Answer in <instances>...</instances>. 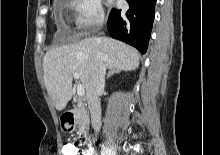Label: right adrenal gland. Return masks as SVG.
<instances>
[{
  "label": "right adrenal gland",
  "instance_id": "obj_1",
  "mask_svg": "<svg viewBox=\"0 0 220 155\" xmlns=\"http://www.w3.org/2000/svg\"><path fill=\"white\" fill-rule=\"evenodd\" d=\"M120 70L115 68V69H111L109 72H108V75H107V79L110 78V76H112L113 74L115 73H119Z\"/></svg>",
  "mask_w": 220,
  "mask_h": 155
}]
</instances>
